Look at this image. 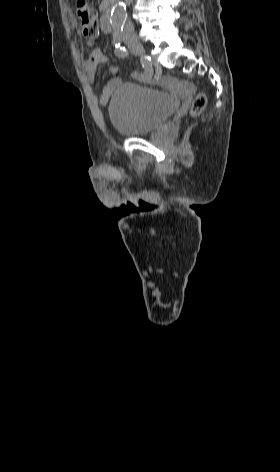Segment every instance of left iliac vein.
<instances>
[{"label": "left iliac vein", "mask_w": 280, "mask_h": 472, "mask_svg": "<svg viewBox=\"0 0 280 472\" xmlns=\"http://www.w3.org/2000/svg\"><path fill=\"white\" fill-rule=\"evenodd\" d=\"M126 38H127V37H126V36H124V40H126Z\"/></svg>", "instance_id": "1"}]
</instances>
